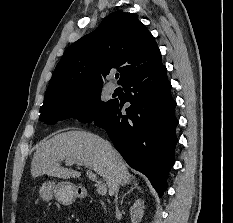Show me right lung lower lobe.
Returning <instances> with one entry per match:
<instances>
[{"label":"right lung lower lobe","mask_w":233,"mask_h":223,"mask_svg":"<svg viewBox=\"0 0 233 223\" xmlns=\"http://www.w3.org/2000/svg\"><path fill=\"white\" fill-rule=\"evenodd\" d=\"M131 106L122 114L118 100L93 120L105 129L115 148L134 169L145 174L158 194L167 188V174L174 163L178 121L166 67L160 63L122 85Z\"/></svg>","instance_id":"right-lung-lower-lobe-1"}]
</instances>
